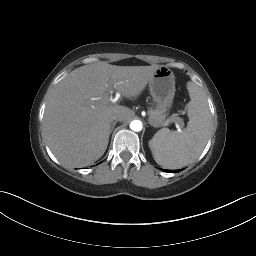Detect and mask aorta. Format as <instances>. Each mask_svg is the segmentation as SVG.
Here are the masks:
<instances>
[{
  "label": "aorta",
  "mask_w": 256,
  "mask_h": 256,
  "mask_svg": "<svg viewBox=\"0 0 256 256\" xmlns=\"http://www.w3.org/2000/svg\"><path fill=\"white\" fill-rule=\"evenodd\" d=\"M142 122L140 120H133L130 123V129L135 131V132H139L142 130Z\"/></svg>",
  "instance_id": "obj_1"
}]
</instances>
